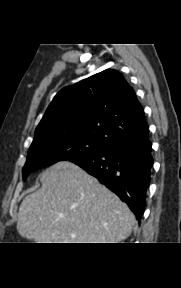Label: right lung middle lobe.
<instances>
[{"mask_svg": "<svg viewBox=\"0 0 181 288\" xmlns=\"http://www.w3.org/2000/svg\"><path fill=\"white\" fill-rule=\"evenodd\" d=\"M106 147L99 141L85 136L49 137L32 142L22 174L27 176L40 168L56 162L92 155Z\"/></svg>", "mask_w": 181, "mask_h": 288, "instance_id": "obj_1", "label": "right lung middle lobe"}]
</instances>
